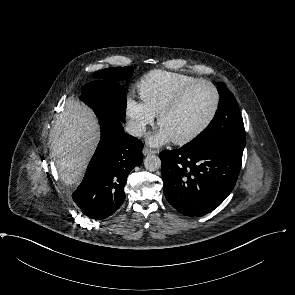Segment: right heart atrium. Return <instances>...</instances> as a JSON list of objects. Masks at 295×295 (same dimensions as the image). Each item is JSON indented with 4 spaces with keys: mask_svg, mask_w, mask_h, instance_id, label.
<instances>
[{
    "mask_svg": "<svg viewBox=\"0 0 295 295\" xmlns=\"http://www.w3.org/2000/svg\"><path fill=\"white\" fill-rule=\"evenodd\" d=\"M126 113L130 118V129L133 135L141 136L147 127L155 121L156 115L142 100L129 96L126 100Z\"/></svg>",
    "mask_w": 295,
    "mask_h": 295,
    "instance_id": "right-heart-atrium-1",
    "label": "right heart atrium"
}]
</instances>
